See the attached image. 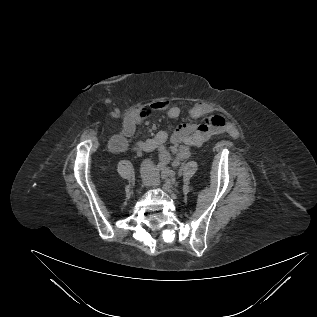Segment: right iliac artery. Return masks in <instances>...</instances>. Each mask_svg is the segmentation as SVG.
<instances>
[{
  "instance_id": "obj_1",
  "label": "right iliac artery",
  "mask_w": 317,
  "mask_h": 317,
  "mask_svg": "<svg viewBox=\"0 0 317 317\" xmlns=\"http://www.w3.org/2000/svg\"><path fill=\"white\" fill-rule=\"evenodd\" d=\"M165 168H166V166L162 162L158 163L157 166H156V169L159 170V171L160 170H164Z\"/></svg>"
}]
</instances>
